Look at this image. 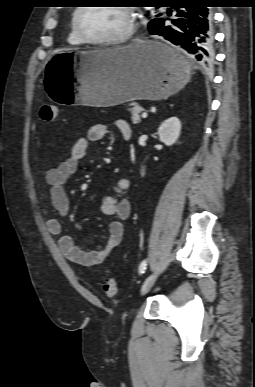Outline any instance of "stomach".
<instances>
[{
  "mask_svg": "<svg viewBox=\"0 0 255 387\" xmlns=\"http://www.w3.org/2000/svg\"><path fill=\"white\" fill-rule=\"evenodd\" d=\"M191 71L178 53L140 40L113 49L58 52L46 63L43 83L62 108L108 107L167 98L185 87Z\"/></svg>",
  "mask_w": 255,
  "mask_h": 387,
  "instance_id": "0dacf381",
  "label": "stomach"
}]
</instances>
